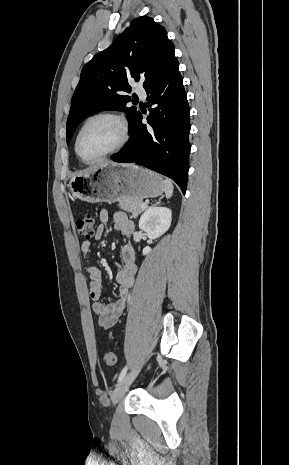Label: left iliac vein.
Listing matches in <instances>:
<instances>
[{"label": "left iliac vein", "mask_w": 289, "mask_h": 465, "mask_svg": "<svg viewBox=\"0 0 289 465\" xmlns=\"http://www.w3.org/2000/svg\"><path fill=\"white\" fill-rule=\"evenodd\" d=\"M140 371V366H136L130 373H128L117 385V387L114 389L111 400L113 405H116L124 396L136 376L138 375Z\"/></svg>", "instance_id": "1"}]
</instances>
